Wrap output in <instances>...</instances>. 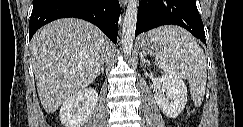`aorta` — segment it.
<instances>
[{
  "label": "aorta",
  "mask_w": 243,
  "mask_h": 127,
  "mask_svg": "<svg viewBox=\"0 0 243 127\" xmlns=\"http://www.w3.org/2000/svg\"><path fill=\"white\" fill-rule=\"evenodd\" d=\"M137 13H138L137 0H130L123 20L122 38H121L123 52L127 56L131 55L133 49L136 23H137Z\"/></svg>",
  "instance_id": "obj_1"
}]
</instances>
